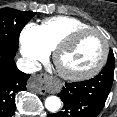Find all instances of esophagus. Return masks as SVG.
Masks as SVG:
<instances>
[{
	"instance_id": "obj_1",
	"label": "esophagus",
	"mask_w": 117,
	"mask_h": 117,
	"mask_svg": "<svg viewBox=\"0 0 117 117\" xmlns=\"http://www.w3.org/2000/svg\"><path fill=\"white\" fill-rule=\"evenodd\" d=\"M29 85L39 94H45L46 92H57L59 89L58 84L46 74L33 76Z\"/></svg>"
}]
</instances>
